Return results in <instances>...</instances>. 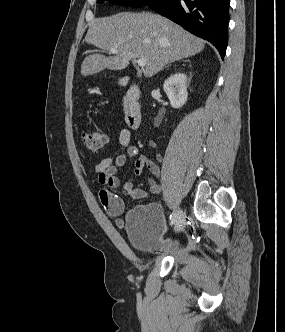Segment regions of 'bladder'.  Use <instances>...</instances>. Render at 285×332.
I'll return each instance as SVG.
<instances>
[{"instance_id":"31cf9c89","label":"bladder","mask_w":285,"mask_h":332,"mask_svg":"<svg viewBox=\"0 0 285 332\" xmlns=\"http://www.w3.org/2000/svg\"><path fill=\"white\" fill-rule=\"evenodd\" d=\"M125 231L131 246L142 253L162 257H182L186 246L180 239L165 236V220L161 207L146 203L132 208L125 217Z\"/></svg>"}]
</instances>
